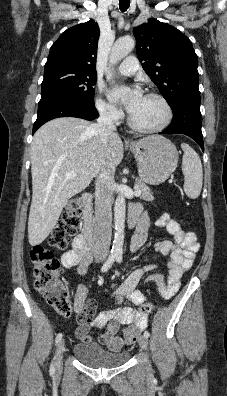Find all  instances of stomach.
<instances>
[{
  "label": "stomach",
  "mask_w": 227,
  "mask_h": 396,
  "mask_svg": "<svg viewBox=\"0 0 227 396\" xmlns=\"http://www.w3.org/2000/svg\"><path fill=\"white\" fill-rule=\"evenodd\" d=\"M140 180L150 185L164 183L175 171L178 152L175 145L162 136H150L130 145Z\"/></svg>",
  "instance_id": "0dacf381"
}]
</instances>
